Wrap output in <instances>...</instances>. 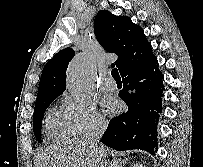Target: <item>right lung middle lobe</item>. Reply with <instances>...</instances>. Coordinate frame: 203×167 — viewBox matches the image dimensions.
<instances>
[{"label":"right lung middle lobe","mask_w":203,"mask_h":167,"mask_svg":"<svg viewBox=\"0 0 203 167\" xmlns=\"http://www.w3.org/2000/svg\"><path fill=\"white\" fill-rule=\"evenodd\" d=\"M57 97H52L46 100H43L39 103H36L34 108V115H33V130L34 134L36 135V139L41 142V126L42 120L44 117V112L48 108V106L55 100Z\"/></svg>","instance_id":"1"}]
</instances>
